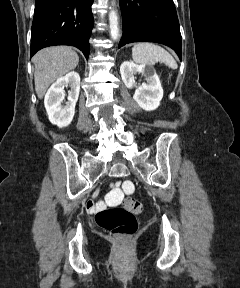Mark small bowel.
Masks as SVG:
<instances>
[{
    "label": "small bowel",
    "instance_id": "c3829d8e",
    "mask_svg": "<svg viewBox=\"0 0 240 288\" xmlns=\"http://www.w3.org/2000/svg\"><path fill=\"white\" fill-rule=\"evenodd\" d=\"M117 195H119L118 192H116ZM90 209H94V206L93 205H90Z\"/></svg>",
    "mask_w": 240,
    "mask_h": 288
}]
</instances>
